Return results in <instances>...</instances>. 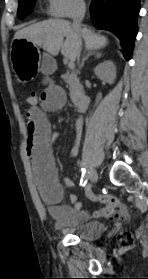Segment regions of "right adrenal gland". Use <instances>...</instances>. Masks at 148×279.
<instances>
[{
  "mask_svg": "<svg viewBox=\"0 0 148 279\" xmlns=\"http://www.w3.org/2000/svg\"><path fill=\"white\" fill-rule=\"evenodd\" d=\"M91 55H94L96 59H99V58H101V56H102L101 53H91V52H89V53H88L87 55H85V57L82 59L80 68H82V67L84 66L85 61L88 60L89 57H90Z\"/></svg>",
  "mask_w": 148,
  "mask_h": 279,
  "instance_id": "1",
  "label": "right adrenal gland"
}]
</instances>
